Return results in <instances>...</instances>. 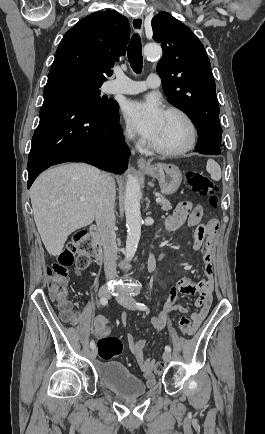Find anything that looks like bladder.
Segmentation results:
<instances>
[{"label":"bladder","instance_id":"bladder-1","mask_svg":"<svg viewBox=\"0 0 265 434\" xmlns=\"http://www.w3.org/2000/svg\"><path fill=\"white\" fill-rule=\"evenodd\" d=\"M101 381L123 398H137L147 391L146 385L118 361L104 360L96 364Z\"/></svg>","mask_w":265,"mask_h":434}]
</instances>
